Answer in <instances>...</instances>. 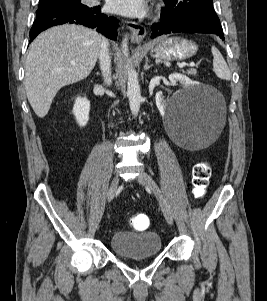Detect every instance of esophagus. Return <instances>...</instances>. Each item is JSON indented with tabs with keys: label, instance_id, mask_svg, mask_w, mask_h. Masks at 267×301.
Returning <instances> with one entry per match:
<instances>
[{
	"label": "esophagus",
	"instance_id": "esophagus-1",
	"mask_svg": "<svg viewBox=\"0 0 267 301\" xmlns=\"http://www.w3.org/2000/svg\"><path fill=\"white\" fill-rule=\"evenodd\" d=\"M126 24L131 31V41L140 44L146 35L145 27L133 21H127Z\"/></svg>",
	"mask_w": 267,
	"mask_h": 301
}]
</instances>
